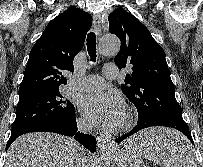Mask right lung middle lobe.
<instances>
[{
    "label": "right lung middle lobe",
    "instance_id": "1",
    "mask_svg": "<svg viewBox=\"0 0 203 167\" xmlns=\"http://www.w3.org/2000/svg\"><path fill=\"white\" fill-rule=\"evenodd\" d=\"M74 114V106L59 90L46 93L17 104L11 134L15 135L36 125L62 120Z\"/></svg>",
    "mask_w": 203,
    "mask_h": 167
}]
</instances>
